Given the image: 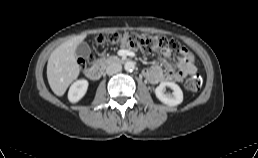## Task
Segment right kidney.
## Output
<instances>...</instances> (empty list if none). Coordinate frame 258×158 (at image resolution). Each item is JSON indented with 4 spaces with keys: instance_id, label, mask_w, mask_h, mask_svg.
I'll use <instances>...</instances> for the list:
<instances>
[{
    "instance_id": "obj_1",
    "label": "right kidney",
    "mask_w": 258,
    "mask_h": 158,
    "mask_svg": "<svg viewBox=\"0 0 258 158\" xmlns=\"http://www.w3.org/2000/svg\"><path fill=\"white\" fill-rule=\"evenodd\" d=\"M88 89V81L85 79L77 80L74 82L68 92V99L72 103L81 100L86 94Z\"/></svg>"
}]
</instances>
